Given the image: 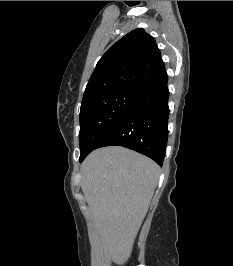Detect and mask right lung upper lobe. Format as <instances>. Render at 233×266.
<instances>
[{
	"mask_svg": "<svg viewBox=\"0 0 233 266\" xmlns=\"http://www.w3.org/2000/svg\"><path fill=\"white\" fill-rule=\"evenodd\" d=\"M166 76L155 39L139 28L117 41L98 61L82 102L118 90L147 91Z\"/></svg>",
	"mask_w": 233,
	"mask_h": 266,
	"instance_id": "right-lung-upper-lobe-1",
	"label": "right lung upper lobe"
}]
</instances>
